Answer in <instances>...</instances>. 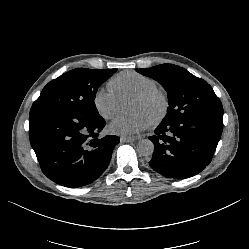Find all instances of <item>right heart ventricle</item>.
<instances>
[{
    "label": "right heart ventricle",
    "mask_w": 249,
    "mask_h": 249,
    "mask_svg": "<svg viewBox=\"0 0 249 249\" xmlns=\"http://www.w3.org/2000/svg\"><path fill=\"white\" fill-rule=\"evenodd\" d=\"M109 86L119 98H124L157 88L158 84L153 78L136 71H122L109 81Z\"/></svg>",
    "instance_id": "e07e8e85"
}]
</instances>
